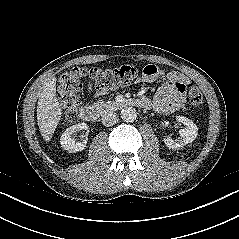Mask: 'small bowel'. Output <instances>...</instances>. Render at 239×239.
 <instances>
[{
    "label": "small bowel",
    "mask_w": 239,
    "mask_h": 239,
    "mask_svg": "<svg viewBox=\"0 0 239 239\" xmlns=\"http://www.w3.org/2000/svg\"><path fill=\"white\" fill-rule=\"evenodd\" d=\"M162 71L153 64L144 67L140 81L151 83L162 76ZM170 83L158 89L153 107L159 113H171L179 110L184 105V86L187 80L177 73L169 74ZM92 90L91 88H89ZM107 91H97L96 95H105Z\"/></svg>",
    "instance_id": "small-bowel-1"
}]
</instances>
